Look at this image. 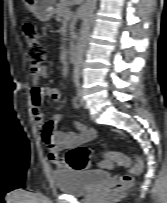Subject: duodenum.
Segmentation results:
<instances>
[{
    "label": "duodenum",
    "instance_id": "obj_1",
    "mask_svg": "<svg viewBox=\"0 0 167 203\" xmlns=\"http://www.w3.org/2000/svg\"><path fill=\"white\" fill-rule=\"evenodd\" d=\"M67 58L71 62L75 61V58H76V46L75 45L69 46V48L67 50Z\"/></svg>",
    "mask_w": 167,
    "mask_h": 203
}]
</instances>
